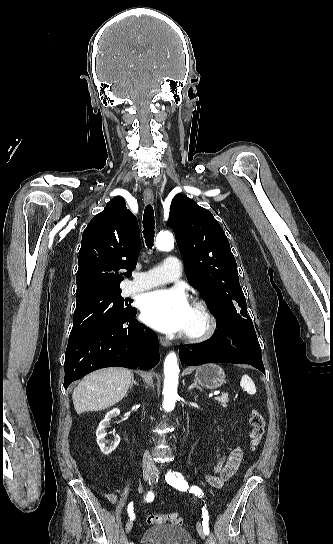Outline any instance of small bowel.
Masks as SVG:
<instances>
[{"mask_svg":"<svg viewBox=\"0 0 333 544\" xmlns=\"http://www.w3.org/2000/svg\"><path fill=\"white\" fill-rule=\"evenodd\" d=\"M242 458V452L239 447H235L227 456L221 457L214 465L211 473L206 475L208 483L215 488H220L223 483L229 479L237 470ZM117 493H121V490L117 489ZM116 492H108L105 494V498L112 504H118V498Z\"/></svg>","mask_w":333,"mask_h":544,"instance_id":"1","label":"small bowel"}]
</instances>
